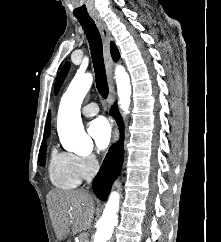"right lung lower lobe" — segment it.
Instances as JSON below:
<instances>
[{"mask_svg":"<svg viewBox=\"0 0 221 242\" xmlns=\"http://www.w3.org/2000/svg\"><path fill=\"white\" fill-rule=\"evenodd\" d=\"M111 114L114 116L120 127V140L116 145L110 147L109 153L106 155L103 164L92 184L94 193L102 201H106L110 193L112 183L120 173L124 158L123 121L116 105L112 107Z\"/></svg>","mask_w":221,"mask_h":242,"instance_id":"right-lung-lower-lobe-1","label":"right lung lower lobe"}]
</instances>
